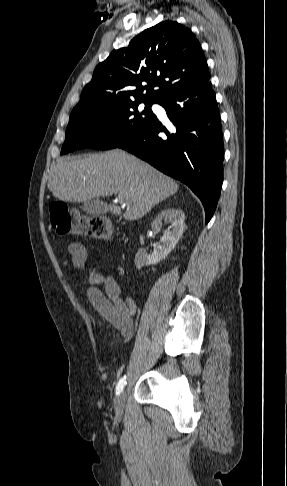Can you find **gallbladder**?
<instances>
[{
  "label": "gallbladder",
  "mask_w": 287,
  "mask_h": 486,
  "mask_svg": "<svg viewBox=\"0 0 287 486\" xmlns=\"http://www.w3.org/2000/svg\"><path fill=\"white\" fill-rule=\"evenodd\" d=\"M82 209L84 212L92 216L104 215L109 211L108 205L98 198L84 201Z\"/></svg>",
  "instance_id": "1"
}]
</instances>
